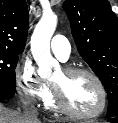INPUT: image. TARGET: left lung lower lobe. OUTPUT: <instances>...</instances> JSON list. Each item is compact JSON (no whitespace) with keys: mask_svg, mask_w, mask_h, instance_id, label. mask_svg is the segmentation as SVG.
<instances>
[{"mask_svg":"<svg viewBox=\"0 0 118 123\" xmlns=\"http://www.w3.org/2000/svg\"><path fill=\"white\" fill-rule=\"evenodd\" d=\"M109 121L112 122V123H118V116L110 118Z\"/></svg>","mask_w":118,"mask_h":123,"instance_id":"obj_1","label":"left lung lower lobe"}]
</instances>
